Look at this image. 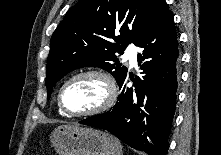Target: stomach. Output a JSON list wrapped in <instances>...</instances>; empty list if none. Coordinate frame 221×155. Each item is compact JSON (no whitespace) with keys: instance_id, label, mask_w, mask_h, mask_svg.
I'll use <instances>...</instances> for the list:
<instances>
[{"instance_id":"0dacf381","label":"stomach","mask_w":221,"mask_h":155,"mask_svg":"<svg viewBox=\"0 0 221 155\" xmlns=\"http://www.w3.org/2000/svg\"><path fill=\"white\" fill-rule=\"evenodd\" d=\"M51 143L59 155H121L122 145L107 132L74 125L58 126Z\"/></svg>"}]
</instances>
